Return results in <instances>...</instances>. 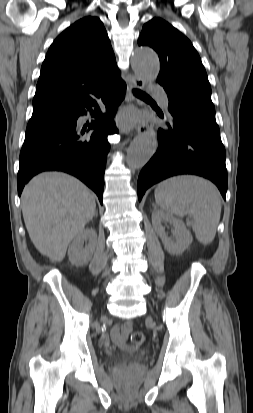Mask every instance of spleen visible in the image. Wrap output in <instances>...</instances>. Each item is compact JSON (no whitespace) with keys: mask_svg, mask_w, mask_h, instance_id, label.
Instances as JSON below:
<instances>
[{"mask_svg":"<svg viewBox=\"0 0 253 413\" xmlns=\"http://www.w3.org/2000/svg\"><path fill=\"white\" fill-rule=\"evenodd\" d=\"M154 195L166 212L193 216L192 229L200 243L213 241L221 215V196L214 184L198 176H176L161 182Z\"/></svg>","mask_w":253,"mask_h":413,"instance_id":"3e777b00","label":"spleen"}]
</instances>
